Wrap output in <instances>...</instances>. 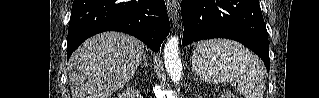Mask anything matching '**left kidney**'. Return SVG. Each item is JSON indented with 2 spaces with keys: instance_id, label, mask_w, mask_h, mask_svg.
<instances>
[{
  "instance_id": "obj_1",
  "label": "left kidney",
  "mask_w": 319,
  "mask_h": 98,
  "mask_svg": "<svg viewBox=\"0 0 319 98\" xmlns=\"http://www.w3.org/2000/svg\"><path fill=\"white\" fill-rule=\"evenodd\" d=\"M221 98H236L234 94H231V92H225Z\"/></svg>"
}]
</instances>
